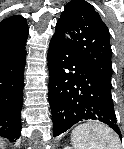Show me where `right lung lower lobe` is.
I'll return each mask as SVG.
<instances>
[{"mask_svg": "<svg viewBox=\"0 0 124 149\" xmlns=\"http://www.w3.org/2000/svg\"><path fill=\"white\" fill-rule=\"evenodd\" d=\"M25 46L0 47V136L13 142L21 133Z\"/></svg>", "mask_w": 124, "mask_h": 149, "instance_id": "98d812e1", "label": "right lung lower lobe"}]
</instances>
